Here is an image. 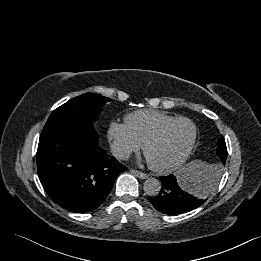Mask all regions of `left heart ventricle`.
Returning <instances> with one entry per match:
<instances>
[{"label":"left heart ventricle","mask_w":261,"mask_h":261,"mask_svg":"<svg viewBox=\"0 0 261 261\" xmlns=\"http://www.w3.org/2000/svg\"><path fill=\"white\" fill-rule=\"evenodd\" d=\"M192 132V126L187 122L174 124L157 142L149 147L147 152L148 160L159 166L175 162L188 147Z\"/></svg>","instance_id":"obj_1"}]
</instances>
